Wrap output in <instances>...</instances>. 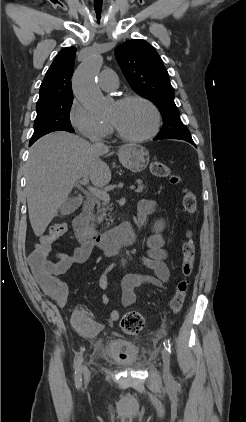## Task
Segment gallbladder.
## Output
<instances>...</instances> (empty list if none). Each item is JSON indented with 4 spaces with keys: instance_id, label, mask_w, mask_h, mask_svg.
Wrapping results in <instances>:
<instances>
[{
    "instance_id": "1",
    "label": "gallbladder",
    "mask_w": 246,
    "mask_h": 422,
    "mask_svg": "<svg viewBox=\"0 0 246 422\" xmlns=\"http://www.w3.org/2000/svg\"><path fill=\"white\" fill-rule=\"evenodd\" d=\"M82 203V200L77 197L67 199L60 208L61 215H68L76 211Z\"/></svg>"
}]
</instances>
